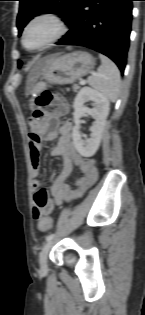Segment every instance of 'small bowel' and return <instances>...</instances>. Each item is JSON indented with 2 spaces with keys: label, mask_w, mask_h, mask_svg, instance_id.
Wrapping results in <instances>:
<instances>
[{
  "label": "small bowel",
  "mask_w": 145,
  "mask_h": 315,
  "mask_svg": "<svg viewBox=\"0 0 145 315\" xmlns=\"http://www.w3.org/2000/svg\"><path fill=\"white\" fill-rule=\"evenodd\" d=\"M71 131L72 123L70 121L64 123L58 130L57 144L51 150L52 155L61 158L62 169L50 187L52 199L49 202L47 190L41 188V183L37 179L40 171L42 141L35 133L29 134L28 147H30L32 188L35 191L34 201L36 204L33 208V217L37 221L38 229L42 216H50L56 206L61 205L64 201L80 197L97 180L98 173L95 161L84 158L77 152L72 141ZM35 132L39 133L44 140H50L53 137V132L45 127H37ZM74 167L79 169L81 176L75 181V188H71L67 183V179ZM50 224L52 227L53 219Z\"/></svg>",
  "instance_id": "small-bowel-1"
}]
</instances>
